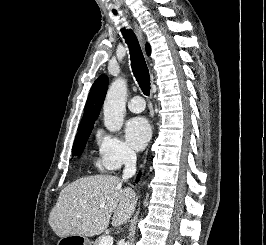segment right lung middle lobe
Wrapping results in <instances>:
<instances>
[{"label":"right lung middle lobe","mask_w":266,"mask_h":245,"mask_svg":"<svg viewBox=\"0 0 266 245\" xmlns=\"http://www.w3.org/2000/svg\"><path fill=\"white\" fill-rule=\"evenodd\" d=\"M94 122L81 125L78 127V133L76 135L73 145V155L80 156L85 148L86 142L93 129Z\"/></svg>","instance_id":"1"}]
</instances>
